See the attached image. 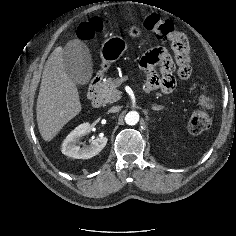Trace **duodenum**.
<instances>
[{"instance_id": "obj_1", "label": "duodenum", "mask_w": 236, "mask_h": 236, "mask_svg": "<svg viewBox=\"0 0 236 236\" xmlns=\"http://www.w3.org/2000/svg\"><path fill=\"white\" fill-rule=\"evenodd\" d=\"M101 82V77L97 76L95 77L89 87L88 91V98L91 103V105L95 108L99 107L101 105V96L98 90V87Z\"/></svg>"}]
</instances>
